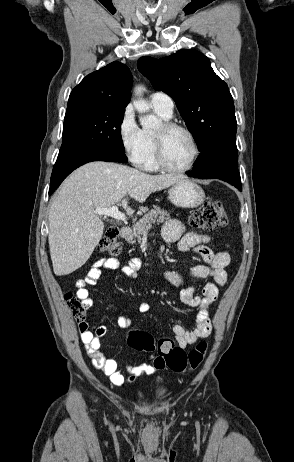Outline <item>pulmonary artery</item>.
I'll use <instances>...</instances> for the list:
<instances>
[{"instance_id":"e3ab8cb5","label":"pulmonary artery","mask_w":294,"mask_h":462,"mask_svg":"<svg viewBox=\"0 0 294 462\" xmlns=\"http://www.w3.org/2000/svg\"><path fill=\"white\" fill-rule=\"evenodd\" d=\"M150 102L153 108L161 110L167 115H172L174 111V102L172 98L164 92H155L151 94Z\"/></svg>"}]
</instances>
